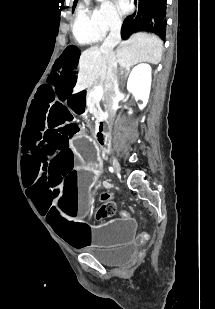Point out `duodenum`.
<instances>
[{
	"mask_svg": "<svg viewBox=\"0 0 215 309\" xmlns=\"http://www.w3.org/2000/svg\"><path fill=\"white\" fill-rule=\"evenodd\" d=\"M97 142L102 149L107 148V140H106L102 122L99 123V129L97 132Z\"/></svg>",
	"mask_w": 215,
	"mask_h": 309,
	"instance_id": "duodenum-1",
	"label": "duodenum"
}]
</instances>
